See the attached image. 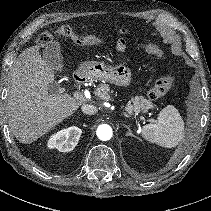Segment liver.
Returning a JSON list of instances; mask_svg holds the SVG:
<instances>
[{
  "label": "liver",
  "instance_id": "liver-1",
  "mask_svg": "<svg viewBox=\"0 0 211 211\" xmlns=\"http://www.w3.org/2000/svg\"><path fill=\"white\" fill-rule=\"evenodd\" d=\"M55 82L53 68L39 46L25 49L10 74L7 114L16 139L32 143L71 116L81 105Z\"/></svg>",
  "mask_w": 211,
  "mask_h": 211
}]
</instances>
